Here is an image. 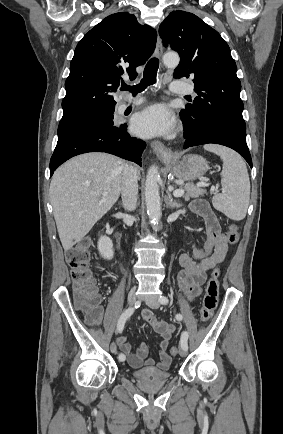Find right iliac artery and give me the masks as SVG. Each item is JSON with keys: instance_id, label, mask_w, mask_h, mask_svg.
<instances>
[{"instance_id": "1", "label": "right iliac artery", "mask_w": 283, "mask_h": 434, "mask_svg": "<svg viewBox=\"0 0 283 434\" xmlns=\"http://www.w3.org/2000/svg\"><path fill=\"white\" fill-rule=\"evenodd\" d=\"M134 312V307L128 308L126 309L120 316L118 323H117V331L118 332H122L125 322L126 320L133 314ZM118 359L120 361H124L125 360V356L122 354H119Z\"/></svg>"}]
</instances>
